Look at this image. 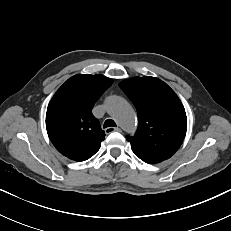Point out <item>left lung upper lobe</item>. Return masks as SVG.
Wrapping results in <instances>:
<instances>
[{
  "mask_svg": "<svg viewBox=\"0 0 231 231\" xmlns=\"http://www.w3.org/2000/svg\"><path fill=\"white\" fill-rule=\"evenodd\" d=\"M120 87L134 103L139 125L132 137H127L137 156L170 158L181 146L187 117L175 92L155 77H134Z\"/></svg>",
  "mask_w": 231,
  "mask_h": 231,
  "instance_id": "5c2ea615",
  "label": "left lung upper lobe"
}]
</instances>
